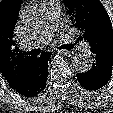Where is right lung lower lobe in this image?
Segmentation results:
<instances>
[{
	"label": "right lung lower lobe",
	"mask_w": 113,
	"mask_h": 113,
	"mask_svg": "<svg viewBox=\"0 0 113 113\" xmlns=\"http://www.w3.org/2000/svg\"><path fill=\"white\" fill-rule=\"evenodd\" d=\"M51 54L43 52L39 57H34L23 78L10 85L11 88L26 97H34L40 93L46 86L48 59Z\"/></svg>",
	"instance_id": "98d812e1"
}]
</instances>
